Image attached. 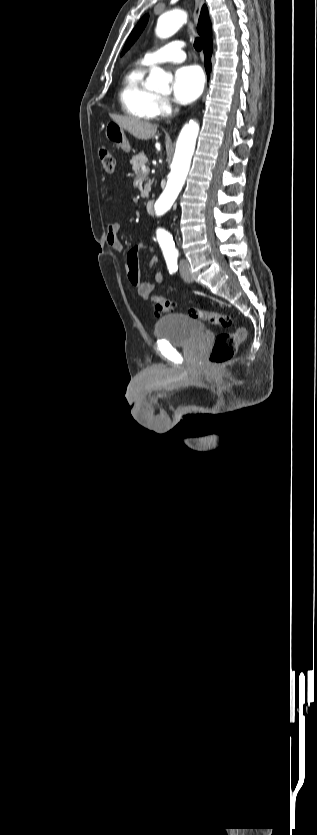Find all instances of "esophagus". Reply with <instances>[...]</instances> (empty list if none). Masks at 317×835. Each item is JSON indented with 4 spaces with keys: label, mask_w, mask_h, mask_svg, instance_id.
Masks as SVG:
<instances>
[{
    "label": "esophagus",
    "mask_w": 317,
    "mask_h": 835,
    "mask_svg": "<svg viewBox=\"0 0 317 835\" xmlns=\"http://www.w3.org/2000/svg\"><path fill=\"white\" fill-rule=\"evenodd\" d=\"M203 4H204V0H195V8H194V12H193V18H194L195 23L198 22Z\"/></svg>",
    "instance_id": "esophagus-1"
}]
</instances>
